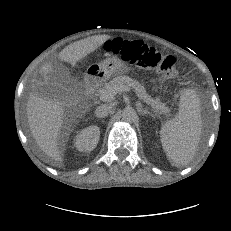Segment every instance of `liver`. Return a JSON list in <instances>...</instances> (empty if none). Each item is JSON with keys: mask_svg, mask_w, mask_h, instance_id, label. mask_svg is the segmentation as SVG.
Segmentation results:
<instances>
[{"mask_svg": "<svg viewBox=\"0 0 231 231\" xmlns=\"http://www.w3.org/2000/svg\"><path fill=\"white\" fill-rule=\"evenodd\" d=\"M109 39V35H95L76 41L66 46L59 53V58L74 66ZM41 70L47 83L52 78L50 74L54 72L53 66L48 62ZM64 117V102L48 99L36 91L30 93L27 101V119L31 134L43 153L56 163L63 161L58 141Z\"/></svg>", "mask_w": 231, "mask_h": 231, "instance_id": "1", "label": "liver"}]
</instances>
